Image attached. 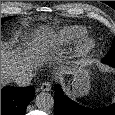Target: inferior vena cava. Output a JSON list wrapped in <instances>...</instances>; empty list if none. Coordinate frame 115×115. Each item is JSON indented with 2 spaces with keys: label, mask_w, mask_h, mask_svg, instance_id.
Listing matches in <instances>:
<instances>
[{
  "label": "inferior vena cava",
  "mask_w": 115,
  "mask_h": 115,
  "mask_svg": "<svg viewBox=\"0 0 115 115\" xmlns=\"http://www.w3.org/2000/svg\"><path fill=\"white\" fill-rule=\"evenodd\" d=\"M33 77L32 71H20L13 80L17 86L25 87L31 84Z\"/></svg>",
  "instance_id": "inferior-vena-cava-1"
}]
</instances>
